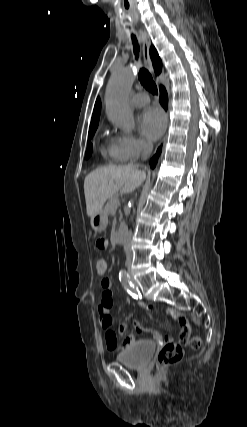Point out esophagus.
Returning a JSON list of instances; mask_svg holds the SVG:
<instances>
[{"label":"esophagus","instance_id":"obj_1","mask_svg":"<svg viewBox=\"0 0 247 427\" xmlns=\"http://www.w3.org/2000/svg\"><path fill=\"white\" fill-rule=\"evenodd\" d=\"M140 37L142 42L144 64L146 68L149 70V72L151 74H154V70H153V66L150 58V46H151L150 38L143 29H140Z\"/></svg>","mask_w":247,"mask_h":427}]
</instances>
